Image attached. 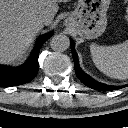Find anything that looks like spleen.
I'll return each instance as SVG.
<instances>
[{
    "label": "spleen",
    "mask_w": 128,
    "mask_h": 128,
    "mask_svg": "<svg viewBox=\"0 0 128 128\" xmlns=\"http://www.w3.org/2000/svg\"><path fill=\"white\" fill-rule=\"evenodd\" d=\"M91 56L96 67L105 75L115 79H128V40L112 46L90 45Z\"/></svg>",
    "instance_id": "spleen-1"
}]
</instances>
